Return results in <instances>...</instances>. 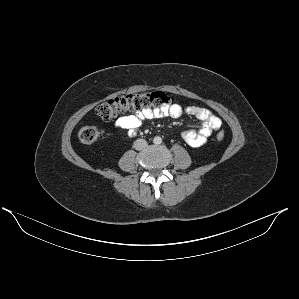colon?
I'll return each mask as SVG.
<instances>
[{
    "instance_id": "5ec220e1",
    "label": "colon",
    "mask_w": 299,
    "mask_h": 299,
    "mask_svg": "<svg viewBox=\"0 0 299 299\" xmlns=\"http://www.w3.org/2000/svg\"><path fill=\"white\" fill-rule=\"evenodd\" d=\"M171 98L160 91L147 93L129 94L100 103L95 114L98 118L109 121L118 115L127 112H136L144 109H159L170 104ZM104 131L97 125L91 124L83 126L78 131V139L82 144H92L103 137ZM225 137L224 132L219 131L216 134L217 140L221 141Z\"/></svg>"
}]
</instances>
